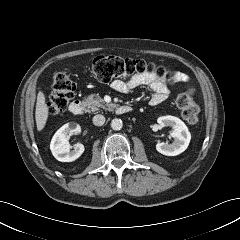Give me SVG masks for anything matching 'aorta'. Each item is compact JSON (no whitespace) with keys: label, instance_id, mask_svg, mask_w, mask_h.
Instances as JSON below:
<instances>
[{"label":"aorta","instance_id":"aorta-1","mask_svg":"<svg viewBox=\"0 0 240 240\" xmlns=\"http://www.w3.org/2000/svg\"><path fill=\"white\" fill-rule=\"evenodd\" d=\"M122 127H123V122L121 119L115 118L111 121V128L113 130L118 131V130H121Z\"/></svg>","mask_w":240,"mask_h":240}]
</instances>
